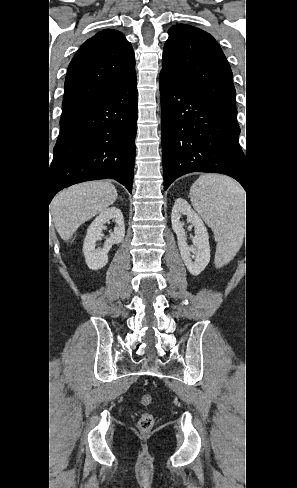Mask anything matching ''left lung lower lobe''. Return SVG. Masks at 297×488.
I'll list each match as a JSON object with an SVG mask.
<instances>
[{
	"label": "left lung lower lobe",
	"instance_id": "0a47b994",
	"mask_svg": "<svg viewBox=\"0 0 297 488\" xmlns=\"http://www.w3.org/2000/svg\"><path fill=\"white\" fill-rule=\"evenodd\" d=\"M164 189L191 172L221 173L248 186L236 116L160 73Z\"/></svg>",
	"mask_w": 297,
	"mask_h": 488
}]
</instances>
